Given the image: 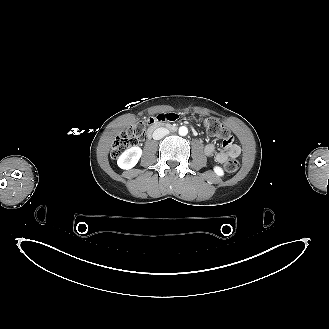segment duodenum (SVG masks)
Segmentation results:
<instances>
[{
	"mask_svg": "<svg viewBox=\"0 0 329 329\" xmlns=\"http://www.w3.org/2000/svg\"><path fill=\"white\" fill-rule=\"evenodd\" d=\"M161 126H168L172 129H174V126L170 125L169 123L167 122H159L158 120L154 121L153 124L151 125V127L149 128L148 132H147V138H151L153 132L158 128V127H161Z\"/></svg>",
	"mask_w": 329,
	"mask_h": 329,
	"instance_id": "410a0bca",
	"label": "duodenum"
}]
</instances>
